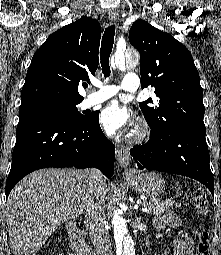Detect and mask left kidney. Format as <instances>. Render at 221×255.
Masks as SVG:
<instances>
[{
    "mask_svg": "<svg viewBox=\"0 0 221 255\" xmlns=\"http://www.w3.org/2000/svg\"><path fill=\"white\" fill-rule=\"evenodd\" d=\"M164 255H167L166 251L164 252Z\"/></svg>",
    "mask_w": 221,
    "mask_h": 255,
    "instance_id": "left-kidney-1",
    "label": "left kidney"
}]
</instances>
